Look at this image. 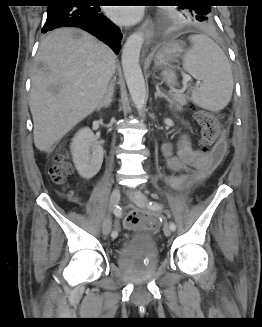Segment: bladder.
Returning <instances> with one entry per match:
<instances>
[{"label": "bladder", "instance_id": "1", "mask_svg": "<svg viewBox=\"0 0 262 327\" xmlns=\"http://www.w3.org/2000/svg\"><path fill=\"white\" fill-rule=\"evenodd\" d=\"M138 252H143L154 261H157L159 259V249L155 237L147 233L133 234L120 247L118 257L119 259H124Z\"/></svg>", "mask_w": 262, "mask_h": 327}]
</instances>
